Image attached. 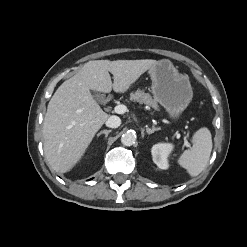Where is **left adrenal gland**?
Instances as JSON below:
<instances>
[{
	"label": "left adrenal gland",
	"instance_id": "left-adrenal-gland-1",
	"mask_svg": "<svg viewBox=\"0 0 247 247\" xmlns=\"http://www.w3.org/2000/svg\"><path fill=\"white\" fill-rule=\"evenodd\" d=\"M160 130V128H156V127H154V126H152V128L150 129L148 126H146V132H147V134H152V133H154L155 131H159Z\"/></svg>",
	"mask_w": 247,
	"mask_h": 247
}]
</instances>
